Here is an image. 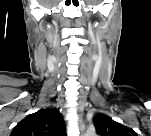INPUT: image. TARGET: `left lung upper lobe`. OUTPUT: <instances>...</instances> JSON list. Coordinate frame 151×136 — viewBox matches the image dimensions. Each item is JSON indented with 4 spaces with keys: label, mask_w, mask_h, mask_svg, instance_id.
Here are the masks:
<instances>
[{
    "label": "left lung upper lobe",
    "mask_w": 151,
    "mask_h": 136,
    "mask_svg": "<svg viewBox=\"0 0 151 136\" xmlns=\"http://www.w3.org/2000/svg\"><path fill=\"white\" fill-rule=\"evenodd\" d=\"M94 126L96 128V132L99 136H135L136 133L112 120L107 115L104 114H97L93 119Z\"/></svg>",
    "instance_id": "left-lung-upper-lobe-1"
}]
</instances>
